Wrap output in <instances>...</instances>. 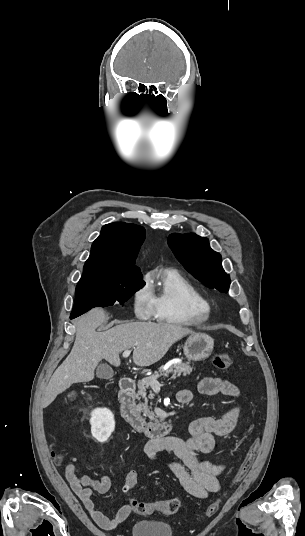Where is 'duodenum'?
<instances>
[{
  "instance_id": "410a0bca",
  "label": "duodenum",
  "mask_w": 305,
  "mask_h": 536,
  "mask_svg": "<svg viewBox=\"0 0 305 536\" xmlns=\"http://www.w3.org/2000/svg\"><path fill=\"white\" fill-rule=\"evenodd\" d=\"M119 400L123 420L137 432L159 439L172 429L173 423L171 420H166L162 423H149L142 417L136 407L135 381L133 379L129 377L121 379Z\"/></svg>"
}]
</instances>
